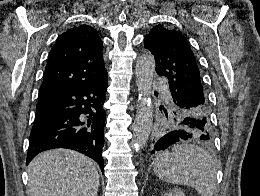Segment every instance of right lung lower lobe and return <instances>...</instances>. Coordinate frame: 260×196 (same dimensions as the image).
Listing matches in <instances>:
<instances>
[{
    "mask_svg": "<svg viewBox=\"0 0 260 196\" xmlns=\"http://www.w3.org/2000/svg\"><path fill=\"white\" fill-rule=\"evenodd\" d=\"M106 89L107 77L38 101L36 115L45 117L33 124L26 164L42 151L68 148L94 159L104 173Z\"/></svg>",
    "mask_w": 260,
    "mask_h": 196,
    "instance_id": "98d812e1",
    "label": "right lung lower lobe"
}]
</instances>
